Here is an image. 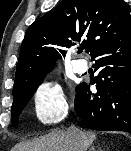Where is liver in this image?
<instances>
[{
    "mask_svg": "<svg viewBox=\"0 0 131 151\" xmlns=\"http://www.w3.org/2000/svg\"><path fill=\"white\" fill-rule=\"evenodd\" d=\"M83 149H87L95 140L96 135L91 131H84ZM81 145L74 140L68 131L52 132L32 142H22L12 151H80Z\"/></svg>",
    "mask_w": 131,
    "mask_h": 151,
    "instance_id": "obj_1",
    "label": "liver"
}]
</instances>
